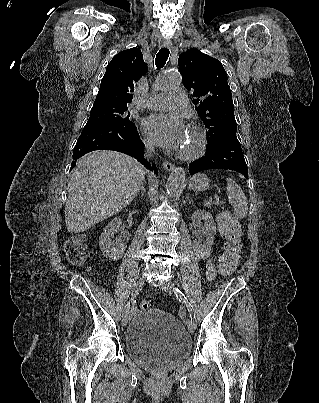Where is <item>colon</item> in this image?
<instances>
[{"label": "colon", "instance_id": "colon-1", "mask_svg": "<svg viewBox=\"0 0 319 403\" xmlns=\"http://www.w3.org/2000/svg\"><path fill=\"white\" fill-rule=\"evenodd\" d=\"M220 233L225 240L224 251L219 258V270L222 274L232 273L238 266L242 255L241 226L230 216L224 217L219 223ZM64 251L67 260L73 265H83L88 258V249L85 237L77 235L66 241ZM142 310L150 308L148 299L142 298L139 302Z\"/></svg>", "mask_w": 319, "mask_h": 403}]
</instances>
